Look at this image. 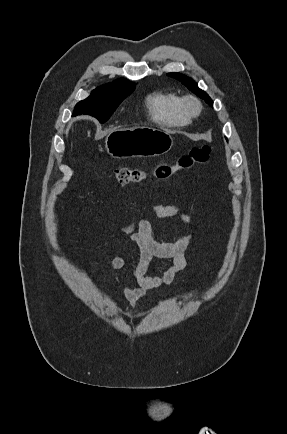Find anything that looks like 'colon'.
Masks as SVG:
<instances>
[{"label": "colon", "mask_w": 287, "mask_h": 434, "mask_svg": "<svg viewBox=\"0 0 287 434\" xmlns=\"http://www.w3.org/2000/svg\"><path fill=\"white\" fill-rule=\"evenodd\" d=\"M210 146L203 145L192 148L182 155L175 164L160 163L154 169V176L162 181L175 178L178 172L189 171L197 165L205 164L210 155ZM115 179L122 185L141 183L146 179V172L139 167L121 166L114 170Z\"/></svg>", "instance_id": "obj_1"}]
</instances>
